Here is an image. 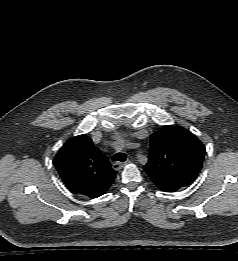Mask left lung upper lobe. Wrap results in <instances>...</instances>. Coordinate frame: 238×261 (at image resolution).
Instances as JSON below:
<instances>
[{
  "instance_id": "obj_1",
  "label": "left lung upper lobe",
  "mask_w": 238,
  "mask_h": 261,
  "mask_svg": "<svg viewBox=\"0 0 238 261\" xmlns=\"http://www.w3.org/2000/svg\"><path fill=\"white\" fill-rule=\"evenodd\" d=\"M204 156V145L191 132L163 126L150 136V155L144 170L160 190L174 192L195 180Z\"/></svg>"
}]
</instances>
